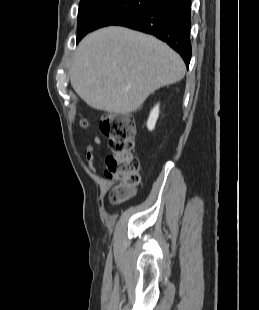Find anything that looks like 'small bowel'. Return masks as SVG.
Returning <instances> with one entry per match:
<instances>
[{"mask_svg": "<svg viewBox=\"0 0 259 310\" xmlns=\"http://www.w3.org/2000/svg\"><path fill=\"white\" fill-rule=\"evenodd\" d=\"M94 144L96 146L102 145L103 144L102 138L95 137ZM85 157H86V161H87V164H88L90 170L94 171L95 170L94 162H95V158H96V150H95L94 145L87 146Z\"/></svg>", "mask_w": 259, "mask_h": 310, "instance_id": "small-bowel-1", "label": "small bowel"}]
</instances>
